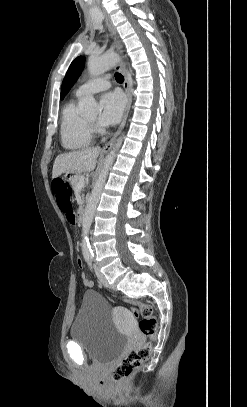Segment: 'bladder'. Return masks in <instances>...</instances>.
I'll return each mask as SVG.
<instances>
[{
    "label": "bladder",
    "mask_w": 247,
    "mask_h": 407,
    "mask_svg": "<svg viewBox=\"0 0 247 407\" xmlns=\"http://www.w3.org/2000/svg\"><path fill=\"white\" fill-rule=\"evenodd\" d=\"M114 308L97 292L85 291L82 306L71 327L72 341L96 362L117 357L127 343V335L112 320Z\"/></svg>",
    "instance_id": "31cf9c89"
}]
</instances>
